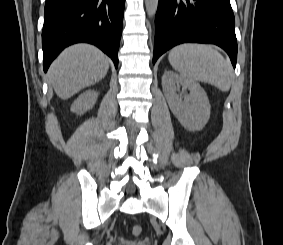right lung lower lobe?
I'll use <instances>...</instances> for the list:
<instances>
[{"mask_svg": "<svg viewBox=\"0 0 283 245\" xmlns=\"http://www.w3.org/2000/svg\"><path fill=\"white\" fill-rule=\"evenodd\" d=\"M125 0H46L42 32L43 67L67 46L96 45L118 66Z\"/></svg>", "mask_w": 283, "mask_h": 245, "instance_id": "right-lung-lower-lobe-1", "label": "right lung lower lobe"}]
</instances>
